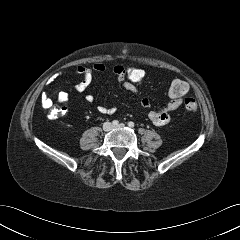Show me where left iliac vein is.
<instances>
[{
  "mask_svg": "<svg viewBox=\"0 0 240 240\" xmlns=\"http://www.w3.org/2000/svg\"><path fill=\"white\" fill-rule=\"evenodd\" d=\"M124 127H125L124 124H119V125H117V126H114V128H124Z\"/></svg>",
  "mask_w": 240,
  "mask_h": 240,
  "instance_id": "1",
  "label": "left iliac vein"
}]
</instances>
